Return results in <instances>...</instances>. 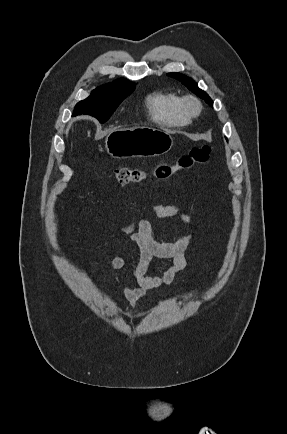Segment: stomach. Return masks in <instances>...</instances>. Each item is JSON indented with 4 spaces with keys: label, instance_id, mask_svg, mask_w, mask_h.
Instances as JSON below:
<instances>
[{
    "label": "stomach",
    "instance_id": "0dacf381",
    "mask_svg": "<svg viewBox=\"0 0 287 434\" xmlns=\"http://www.w3.org/2000/svg\"><path fill=\"white\" fill-rule=\"evenodd\" d=\"M172 146L168 132L150 126L112 130L105 139L107 153L117 159L159 156Z\"/></svg>",
    "mask_w": 287,
    "mask_h": 434
}]
</instances>
